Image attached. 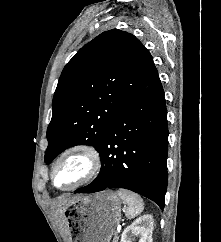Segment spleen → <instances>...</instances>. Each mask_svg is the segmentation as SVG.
I'll return each instance as SVG.
<instances>
[{"label":"spleen","instance_id":"3e777b00","mask_svg":"<svg viewBox=\"0 0 221 242\" xmlns=\"http://www.w3.org/2000/svg\"><path fill=\"white\" fill-rule=\"evenodd\" d=\"M117 194L127 206L125 212L127 218L132 219L142 213L144 202L139 195L127 190H118Z\"/></svg>","mask_w":221,"mask_h":242}]
</instances>
